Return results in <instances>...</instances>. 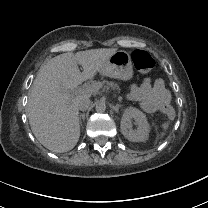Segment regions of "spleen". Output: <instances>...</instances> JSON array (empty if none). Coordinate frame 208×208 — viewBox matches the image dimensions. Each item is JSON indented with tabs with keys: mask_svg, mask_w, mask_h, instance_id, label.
<instances>
[{
	"mask_svg": "<svg viewBox=\"0 0 208 208\" xmlns=\"http://www.w3.org/2000/svg\"><path fill=\"white\" fill-rule=\"evenodd\" d=\"M167 132V125H164L159 132L156 134L155 141L160 142L166 135Z\"/></svg>",
	"mask_w": 208,
	"mask_h": 208,
	"instance_id": "1",
	"label": "spleen"
}]
</instances>
